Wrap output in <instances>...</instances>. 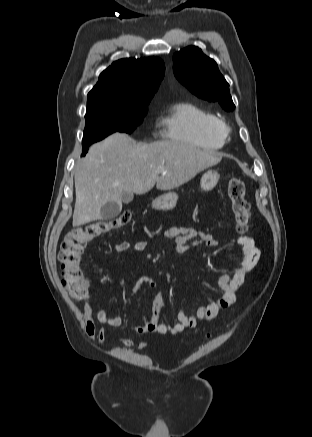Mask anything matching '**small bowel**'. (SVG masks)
Instances as JSON below:
<instances>
[{
  "label": "small bowel",
  "instance_id": "small-bowel-1",
  "mask_svg": "<svg viewBox=\"0 0 312 437\" xmlns=\"http://www.w3.org/2000/svg\"><path fill=\"white\" fill-rule=\"evenodd\" d=\"M165 236L172 241L175 250L179 253L186 251L189 245H201L208 248H216L219 245L218 240L210 233L203 230L190 227H173L166 231ZM241 246L239 265L232 270L231 273L222 275L218 284L222 290V295L213 303L207 306L197 307L195 314L190 316L185 310H179L177 313V322L167 324L160 321V311L165 307L164 298L161 294L157 295L152 303V311L150 315H141V324L131 326V330L137 334H160V335H177L187 328H194L198 322L203 320H211L215 318L222 310L231 306L236 299V292L240 288L244 277L258 263L260 259V250L256 247L254 240L249 236H242L237 239ZM147 248V243L143 240L131 243L129 241H121L114 246V252L124 253L129 250L142 252ZM156 287V282L150 277H141L132 290L139 291L140 287ZM94 308L91 301H88L83 310L82 317L84 328L87 336L91 340H96L103 345H107L109 340L122 344L130 348L143 349L148 346L145 341L136 342L131 338L123 336H109L106 330L101 327L97 328L93 317ZM96 320L109 327H120L122 319L119 316H111L105 310H99L96 313Z\"/></svg>",
  "mask_w": 312,
  "mask_h": 437
}]
</instances>
